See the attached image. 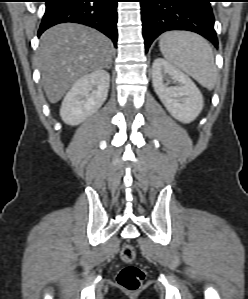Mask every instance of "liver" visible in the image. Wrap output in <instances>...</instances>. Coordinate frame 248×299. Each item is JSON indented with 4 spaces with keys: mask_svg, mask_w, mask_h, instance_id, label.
Segmentation results:
<instances>
[{
    "mask_svg": "<svg viewBox=\"0 0 248 299\" xmlns=\"http://www.w3.org/2000/svg\"><path fill=\"white\" fill-rule=\"evenodd\" d=\"M112 54V42L90 27L63 23L48 29L37 53L48 100L57 103L78 79L107 68Z\"/></svg>",
    "mask_w": 248,
    "mask_h": 299,
    "instance_id": "6515ba94",
    "label": "liver"
}]
</instances>
